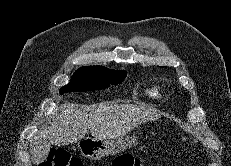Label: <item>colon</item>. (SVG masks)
Returning <instances> with one entry per match:
<instances>
[{
	"label": "colon",
	"mask_w": 231,
	"mask_h": 166,
	"mask_svg": "<svg viewBox=\"0 0 231 166\" xmlns=\"http://www.w3.org/2000/svg\"><path fill=\"white\" fill-rule=\"evenodd\" d=\"M40 166H82L79 159L74 158L71 154L62 148L52 149ZM112 166H140V159L129 154H123L116 157Z\"/></svg>",
	"instance_id": "5ec220e1"
}]
</instances>
